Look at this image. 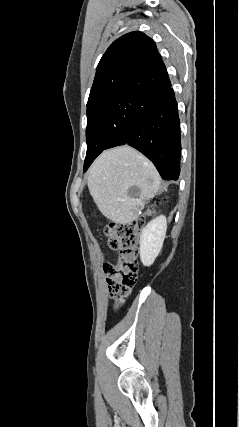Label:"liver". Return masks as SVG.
Listing matches in <instances>:
<instances>
[{"mask_svg": "<svg viewBox=\"0 0 239 427\" xmlns=\"http://www.w3.org/2000/svg\"><path fill=\"white\" fill-rule=\"evenodd\" d=\"M133 186L135 194L129 191ZM88 188L100 212L117 224L135 220L145 201L163 189L155 166L127 145L106 150L94 161Z\"/></svg>", "mask_w": 239, "mask_h": 427, "instance_id": "1", "label": "liver"}]
</instances>
